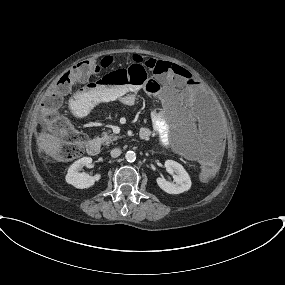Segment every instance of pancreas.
Masks as SVG:
<instances>
[{
	"mask_svg": "<svg viewBox=\"0 0 285 285\" xmlns=\"http://www.w3.org/2000/svg\"><path fill=\"white\" fill-rule=\"evenodd\" d=\"M120 136L110 134V132H103L102 137L100 138L101 142L105 145L111 144L113 141L119 139Z\"/></svg>",
	"mask_w": 285,
	"mask_h": 285,
	"instance_id": "1",
	"label": "pancreas"
}]
</instances>
